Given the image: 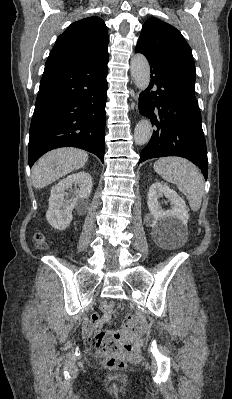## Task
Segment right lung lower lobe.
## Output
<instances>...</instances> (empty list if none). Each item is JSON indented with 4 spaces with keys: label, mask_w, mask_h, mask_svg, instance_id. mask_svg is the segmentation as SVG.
Here are the masks:
<instances>
[{
    "label": "right lung lower lobe",
    "mask_w": 232,
    "mask_h": 399,
    "mask_svg": "<svg viewBox=\"0 0 232 399\" xmlns=\"http://www.w3.org/2000/svg\"><path fill=\"white\" fill-rule=\"evenodd\" d=\"M108 59L45 66L30 126V167L47 151L65 146L103 162Z\"/></svg>",
    "instance_id": "1"
}]
</instances>
